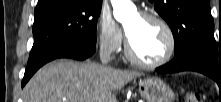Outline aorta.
Listing matches in <instances>:
<instances>
[{"label": "aorta", "instance_id": "762f6f07", "mask_svg": "<svg viewBox=\"0 0 221 102\" xmlns=\"http://www.w3.org/2000/svg\"><path fill=\"white\" fill-rule=\"evenodd\" d=\"M111 3L113 15L119 22H124L136 12V7L131 0H111Z\"/></svg>", "mask_w": 221, "mask_h": 102}]
</instances>
